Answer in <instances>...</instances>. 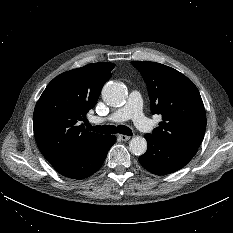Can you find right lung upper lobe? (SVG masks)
Listing matches in <instances>:
<instances>
[{"label":"right lung upper lobe","instance_id":"1","mask_svg":"<svg viewBox=\"0 0 233 233\" xmlns=\"http://www.w3.org/2000/svg\"><path fill=\"white\" fill-rule=\"evenodd\" d=\"M114 67L106 62L88 64L58 75L47 85L33 122L37 145L52 165L75 157L106 136L88 132L80 121L96 105Z\"/></svg>","mask_w":233,"mask_h":233}]
</instances>
